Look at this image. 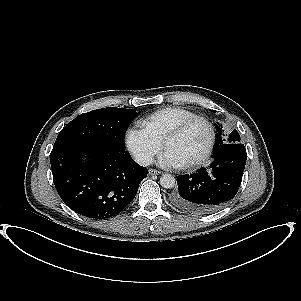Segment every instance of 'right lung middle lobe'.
<instances>
[{
    "instance_id": "right-lung-middle-lobe-1",
    "label": "right lung middle lobe",
    "mask_w": 301,
    "mask_h": 301,
    "mask_svg": "<svg viewBox=\"0 0 301 301\" xmlns=\"http://www.w3.org/2000/svg\"><path fill=\"white\" fill-rule=\"evenodd\" d=\"M137 115L134 109L115 107L83 113L61 130L54 145L98 140L124 148V133Z\"/></svg>"
}]
</instances>
